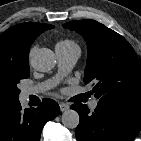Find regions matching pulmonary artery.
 <instances>
[{
  "instance_id": "pulmonary-artery-1",
  "label": "pulmonary artery",
  "mask_w": 141,
  "mask_h": 141,
  "mask_svg": "<svg viewBox=\"0 0 141 141\" xmlns=\"http://www.w3.org/2000/svg\"><path fill=\"white\" fill-rule=\"evenodd\" d=\"M56 55L58 58L59 66L58 75L46 82L25 88L23 90V96L28 97L30 95H37L54 87L59 82L60 78L73 68V66L75 65L76 61L79 58L80 50L77 48L64 49L56 47ZM97 104H98L97 100L95 99L92 100L90 102V108L95 109L97 107Z\"/></svg>"
}]
</instances>
